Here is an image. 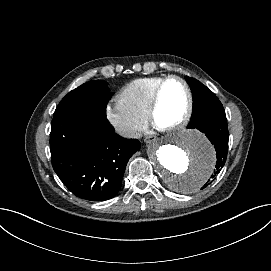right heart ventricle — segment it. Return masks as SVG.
Masks as SVG:
<instances>
[{
	"mask_svg": "<svg viewBox=\"0 0 271 271\" xmlns=\"http://www.w3.org/2000/svg\"><path fill=\"white\" fill-rule=\"evenodd\" d=\"M165 77V75H155L134 79L121 89L119 97L132 112L147 118L152 93Z\"/></svg>",
	"mask_w": 271,
	"mask_h": 271,
	"instance_id": "e07e8e85",
	"label": "right heart ventricle"
}]
</instances>
